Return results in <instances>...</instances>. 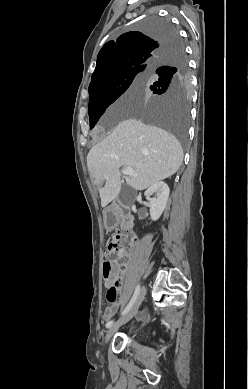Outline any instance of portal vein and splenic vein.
Listing matches in <instances>:
<instances>
[{
  "label": "portal vein and splenic vein",
  "mask_w": 248,
  "mask_h": 389,
  "mask_svg": "<svg viewBox=\"0 0 248 389\" xmlns=\"http://www.w3.org/2000/svg\"><path fill=\"white\" fill-rule=\"evenodd\" d=\"M123 175H131V176H138V174L133 170L132 167H124L121 170Z\"/></svg>",
  "instance_id": "18ae733b"
}]
</instances>
